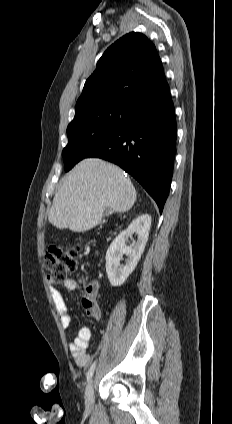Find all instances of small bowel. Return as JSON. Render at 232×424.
Masks as SVG:
<instances>
[{
	"instance_id": "obj_1",
	"label": "small bowel",
	"mask_w": 232,
	"mask_h": 424,
	"mask_svg": "<svg viewBox=\"0 0 232 424\" xmlns=\"http://www.w3.org/2000/svg\"><path fill=\"white\" fill-rule=\"evenodd\" d=\"M63 287L67 292H73L78 287L79 284L75 279L69 278L63 283ZM86 294L89 297V300L93 303L95 308V313L93 317L97 320L101 319V311L97 304L94 303L93 298L99 292V283L93 282L89 284L86 289ZM51 298L54 304L55 309L60 315V322L64 328H68L71 325L72 318L68 313V308L66 305V300L63 293L57 288H51L50 290ZM86 302L84 301V306ZM92 338V332L88 327H82L74 341L70 344V351L72 356L75 359V362L79 366H85L90 361V355L87 353V348L89 346V342Z\"/></svg>"
}]
</instances>
